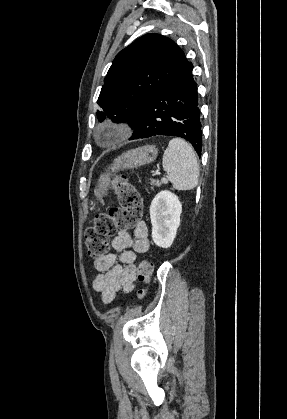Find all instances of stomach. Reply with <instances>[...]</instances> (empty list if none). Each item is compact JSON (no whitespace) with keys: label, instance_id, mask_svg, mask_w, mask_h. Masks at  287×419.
I'll use <instances>...</instances> for the list:
<instances>
[{"label":"stomach","instance_id":"1","mask_svg":"<svg viewBox=\"0 0 287 419\" xmlns=\"http://www.w3.org/2000/svg\"><path fill=\"white\" fill-rule=\"evenodd\" d=\"M158 154V149L154 145H145L123 153L117 157L107 168L106 172L100 175L98 185L94 194L98 199H102L107 194L110 179L119 171L137 168L152 163Z\"/></svg>","mask_w":287,"mask_h":419}]
</instances>
